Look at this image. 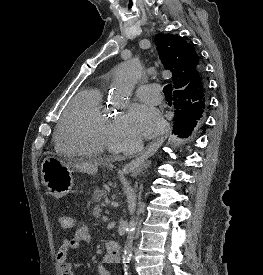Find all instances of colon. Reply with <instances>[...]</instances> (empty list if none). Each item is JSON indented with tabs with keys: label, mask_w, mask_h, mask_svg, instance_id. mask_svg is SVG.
<instances>
[{
	"label": "colon",
	"mask_w": 263,
	"mask_h": 275,
	"mask_svg": "<svg viewBox=\"0 0 263 275\" xmlns=\"http://www.w3.org/2000/svg\"><path fill=\"white\" fill-rule=\"evenodd\" d=\"M59 224L60 226L65 229V230H69L73 227L74 225V220L71 216L68 215H61L59 217Z\"/></svg>",
	"instance_id": "5ec220e1"
}]
</instances>
